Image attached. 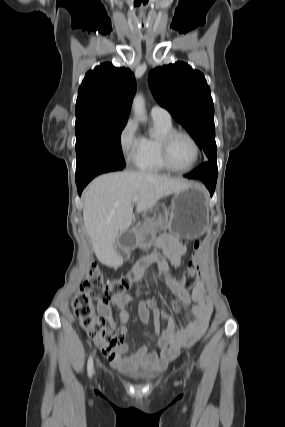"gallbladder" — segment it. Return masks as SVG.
<instances>
[{"mask_svg":"<svg viewBox=\"0 0 285 427\" xmlns=\"http://www.w3.org/2000/svg\"><path fill=\"white\" fill-rule=\"evenodd\" d=\"M123 236V234L120 236V240H121V237ZM121 242V241H120Z\"/></svg>","mask_w":285,"mask_h":427,"instance_id":"obj_1","label":"gallbladder"}]
</instances>
